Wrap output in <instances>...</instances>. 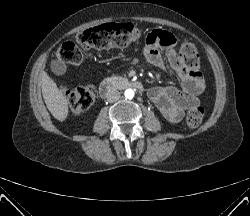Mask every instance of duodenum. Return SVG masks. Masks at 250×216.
Segmentation results:
<instances>
[{
    "label": "duodenum",
    "instance_id": "duodenum-1",
    "mask_svg": "<svg viewBox=\"0 0 250 216\" xmlns=\"http://www.w3.org/2000/svg\"><path fill=\"white\" fill-rule=\"evenodd\" d=\"M128 87H136L142 89V85L139 82H132L124 78H108L100 84L99 93L101 97L105 98L116 89H123Z\"/></svg>",
    "mask_w": 250,
    "mask_h": 216
}]
</instances>
